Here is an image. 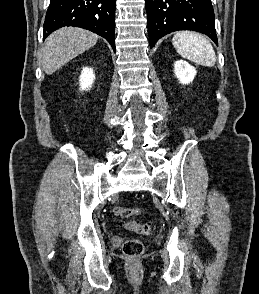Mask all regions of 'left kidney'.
<instances>
[{
    "label": "left kidney",
    "mask_w": 259,
    "mask_h": 294,
    "mask_svg": "<svg viewBox=\"0 0 259 294\" xmlns=\"http://www.w3.org/2000/svg\"><path fill=\"white\" fill-rule=\"evenodd\" d=\"M174 73L182 84H189L196 75L195 67L183 60H178L174 64Z\"/></svg>",
    "instance_id": "left-kidney-1"
}]
</instances>
